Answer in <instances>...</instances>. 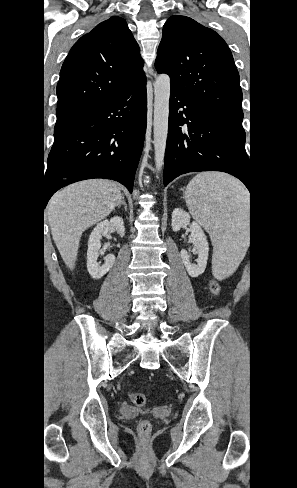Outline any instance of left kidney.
Instances as JSON below:
<instances>
[{"instance_id":"5707ae66","label":"left kidney","mask_w":297,"mask_h":488,"mask_svg":"<svg viewBox=\"0 0 297 488\" xmlns=\"http://www.w3.org/2000/svg\"><path fill=\"white\" fill-rule=\"evenodd\" d=\"M189 225L191 235L198 252L197 264H192L189 260V255L185 249H182L180 256L184 266L191 277H198L201 275L206 268L208 260L209 245L207 242L206 235L197 222H190V215L180 209H174L172 213V229L173 231H178L182 227Z\"/></svg>"}]
</instances>
